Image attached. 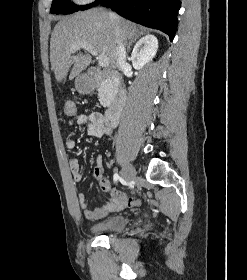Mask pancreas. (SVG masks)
<instances>
[{
	"label": "pancreas",
	"instance_id": "pancreas-1",
	"mask_svg": "<svg viewBox=\"0 0 247 280\" xmlns=\"http://www.w3.org/2000/svg\"><path fill=\"white\" fill-rule=\"evenodd\" d=\"M114 97V84L109 80L102 81L98 88V98L102 106H107Z\"/></svg>",
	"mask_w": 247,
	"mask_h": 280
}]
</instances>
